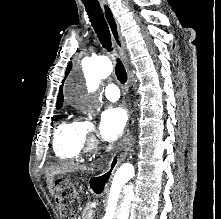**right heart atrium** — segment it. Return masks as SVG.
I'll use <instances>...</instances> for the list:
<instances>
[{
  "label": "right heart atrium",
  "instance_id": "d8ad5b80",
  "mask_svg": "<svg viewBox=\"0 0 221 219\" xmlns=\"http://www.w3.org/2000/svg\"><path fill=\"white\" fill-rule=\"evenodd\" d=\"M84 123V133L85 138L89 137L91 133L93 132V124L90 122H83Z\"/></svg>",
  "mask_w": 221,
  "mask_h": 219
}]
</instances>
